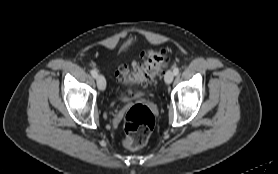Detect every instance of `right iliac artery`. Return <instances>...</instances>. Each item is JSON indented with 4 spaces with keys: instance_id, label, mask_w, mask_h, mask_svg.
Returning a JSON list of instances; mask_svg holds the SVG:
<instances>
[{
    "instance_id": "right-iliac-artery-1",
    "label": "right iliac artery",
    "mask_w": 278,
    "mask_h": 174,
    "mask_svg": "<svg viewBox=\"0 0 278 174\" xmlns=\"http://www.w3.org/2000/svg\"><path fill=\"white\" fill-rule=\"evenodd\" d=\"M91 74H92V76H93L94 78H97V76H98V71H97L96 69H92V70H91Z\"/></svg>"
}]
</instances>
